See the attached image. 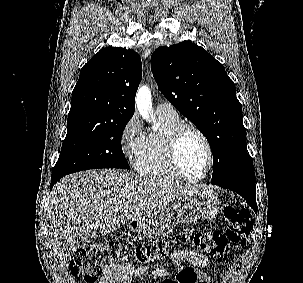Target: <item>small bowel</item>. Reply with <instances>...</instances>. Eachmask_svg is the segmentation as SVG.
I'll return each mask as SVG.
<instances>
[{"label":"small bowel","mask_w":303,"mask_h":283,"mask_svg":"<svg viewBox=\"0 0 303 283\" xmlns=\"http://www.w3.org/2000/svg\"><path fill=\"white\" fill-rule=\"evenodd\" d=\"M170 258L174 261H187L199 268L206 267L209 264V259L205 255L186 249L173 252ZM146 270L147 267L145 266L134 268L129 265L112 264L105 268L98 283H130L132 275L140 279L144 276ZM201 280L203 283H210V279L206 275H203Z\"/></svg>","instance_id":"small-bowel-1"}]
</instances>
